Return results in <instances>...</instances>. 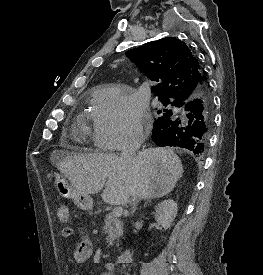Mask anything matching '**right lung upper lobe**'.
I'll list each match as a JSON object with an SVG mask.
<instances>
[{
  "label": "right lung upper lobe",
  "mask_w": 263,
  "mask_h": 275,
  "mask_svg": "<svg viewBox=\"0 0 263 275\" xmlns=\"http://www.w3.org/2000/svg\"><path fill=\"white\" fill-rule=\"evenodd\" d=\"M152 80V92L161 98L191 97L207 84L198 60L188 46L175 37L149 42L126 53Z\"/></svg>",
  "instance_id": "right-lung-upper-lobe-1"
}]
</instances>
